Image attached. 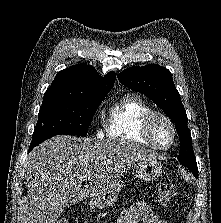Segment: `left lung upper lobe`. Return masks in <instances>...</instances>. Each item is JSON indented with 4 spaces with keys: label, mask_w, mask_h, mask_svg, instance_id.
<instances>
[{
    "label": "left lung upper lobe",
    "mask_w": 221,
    "mask_h": 223,
    "mask_svg": "<svg viewBox=\"0 0 221 223\" xmlns=\"http://www.w3.org/2000/svg\"><path fill=\"white\" fill-rule=\"evenodd\" d=\"M119 81L126 87L146 95L157 104L176 124L180 139V154L178 160L188 167L195 177H198V168L192 148L191 133L187 126V115L182 105L171 72L157 64L143 67L135 66L122 71Z\"/></svg>",
    "instance_id": "1"
}]
</instances>
